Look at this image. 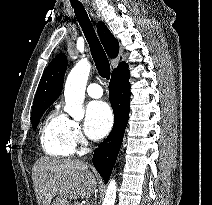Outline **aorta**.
<instances>
[{
    "mask_svg": "<svg viewBox=\"0 0 212 205\" xmlns=\"http://www.w3.org/2000/svg\"><path fill=\"white\" fill-rule=\"evenodd\" d=\"M91 65L87 59H81L70 71L64 89L65 111L74 118L83 116V102ZM117 184L110 179L102 205H115Z\"/></svg>",
    "mask_w": 212,
    "mask_h": 205,
    "instance_id": "1",
    "label": "aorta"
}]
</instances>
